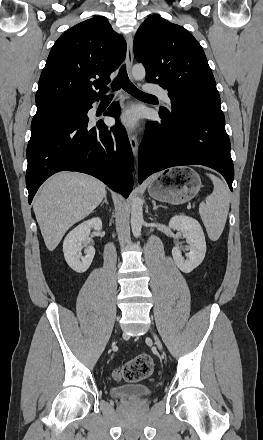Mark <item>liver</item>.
<instances>
[{
  "label": "liver",
  "instance_id": "liver-1",
  "mask_svg": "<svg viewBox=\"0 0 263 440\" xmlns=\"http://www.w3.org/2000/svg\"><path fill=\"white\" fill-rule=\"evenodd\" d=\"M107 194L100 180L74 172H60L37 193L33 209L45 245L53 251L66 231L87 217Z\"/></svg>",
  "mask_w": 263,
  "mask_h": 440
}]
</instances>
